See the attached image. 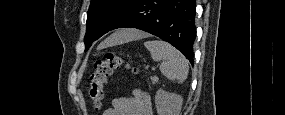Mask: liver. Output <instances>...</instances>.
Returning a JSON list of instances; mask_svg holds the SVG:
<instances>
[{"instance_id":"obj_1","label":"liver","mask_w":285,"mask_h":115,"mask_svg":"<svg viewBox=\"0 0 285 115\" xmlns=\"http://www.w3.org/2000/svg\"><path fill=\"white\" fill-rule=\"evenodd\" d=\"M148 34L138 31V30H133V29H124L120 30L114 34H112L110 37H108L106 40H104L99 46L98 49H104L107 47L115 46V45H120L132 40L136 39H141L147 37Z\"/></svg>"}]
</instances>
